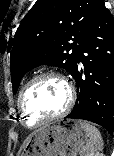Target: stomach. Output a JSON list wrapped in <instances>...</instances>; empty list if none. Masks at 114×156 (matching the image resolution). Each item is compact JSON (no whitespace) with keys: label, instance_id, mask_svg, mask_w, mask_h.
Segmentation results:
<instances>
[{"label":"stomach","instance_id":"1","mask_svg":"<svg viewBox=\"0 0 114 156\" xmlns=\"http://www.w3.org/2000/svg\"><path fill=\"white\" fill-rule=\"evenodd\" d=\"M80 120L50 123L35 131L21 156H76L88 141Z\"/></svg>","mask_w":114,"mask_h":156}]
</instances>
